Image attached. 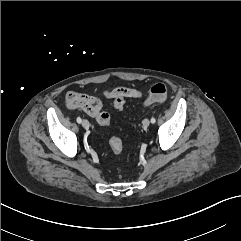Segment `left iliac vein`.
<instances>
[{
  "label": "left iliac vein",
  "mask_w": 241,
  "mask_h": 241,
  "mask_svg": "<svg viewBox=\"0 0 241 241\" xmlns=\"http://www.w3.org/2000/svg\"><path fill=\"white\" fill-rule=\"evenodd\" d=\"M142 125H143L144 128L149 127V125H150V120H149V119H144L143 122H142Z\"/></svg>",
  "instance_id": "4c4485c4"
}]
</instances>
